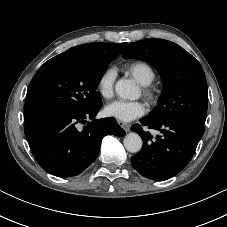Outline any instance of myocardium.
<instances>
[{
    "label": "myocardium",
    "instance_id": "1",
    "mask_svg": "<svg viewBox=\"0 0 227 227\" xmlns=\"http://www.w3.org/2000/svg\"><path fill=\"white\" fill-rule=\"evenodd\" d=\"M142 93L150 103H155L158 100V92L150 86H142Z\"/></svg>",
    "mask_w": 227,
    "mask_h": 227
}]
</instances>
